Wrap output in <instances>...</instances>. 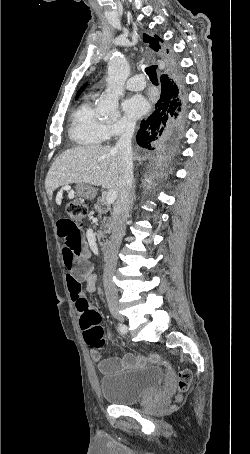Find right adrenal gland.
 <instances>
[{"instance_id": "1", "label": "right adrenal gland", "mask_w": 250, "mask_h": 454, "mask_svg": "<svg viewBox=\"0 0 250 454\" xmlns=\"http://www.w3.org/2000/svg\"><path fill=\"white\" fill-rule=\"evenodd\" d=\"M135 188V186H134ZM133 188V192H132V198H131V208L133 207V202L135 201L136 199V195H135V189Z\"/></svg>"}]
</instances>
